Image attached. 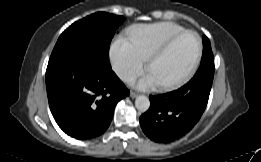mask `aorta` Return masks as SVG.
I'll use <instances>...</instances> for the list:
<instances>
[{"instance_id": "obj_1", "label": "aorta", "mask_w": 261, "mask_h": 162, "mask_svg": "<svg viewBox=\"0 0 261 162\" xmlns=\"http://www.w3.org/2000/svg\"><path fill=\"white\" fill-rule=\"evenodd\" d=\"M135 106L137 110L141 112H146L150 107V101L147 96L140 95L135 100Z\"/></svg>"}]
</instances>
